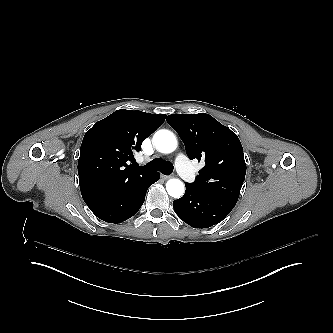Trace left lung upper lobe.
<instances>
[{"instance_id":"1","label":"left lung upper lobe","mask_w":333,"mask_h":333,"mask_svg":"<svg viewBox=\"0 0 333 333\" xmlns=\"http://www.w3.org/2000/svg\"><path fill=\"white\" fill-rule=\"evenodd\" d=\"M167 122L183 140L188 157L205 160L190 184L203 193L238 200L246 163L237 135L206 113L169 115Z\"/></svg>"}]
</instances>
